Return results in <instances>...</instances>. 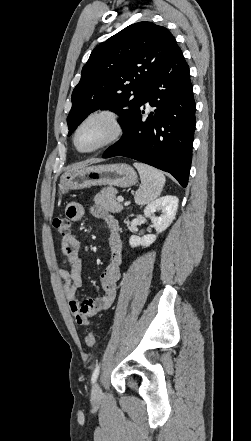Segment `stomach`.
I'll return each instance as SVG.
<instances>
[{
    "label": "stomach",
    "mask_w": 251,
    "mask_h": 441,
    "mask_svg": "<svg viewBox=\"0 0 251 441\" xmlns=\"http://www.w3.org/2000/svg\"><path fill=\"white\" fill-rule=\"evenodd\" d=\"M137 173L128 164H106L72 169L62 175L59 189L62 194L92 186L131 187L137 182Z\"/></svg>",
    "instance_id": "stomach-1"
}]
</instances>
